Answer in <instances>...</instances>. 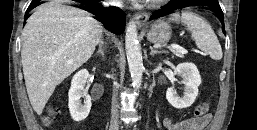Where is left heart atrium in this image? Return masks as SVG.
Returning a JSON list of instances; mask_svg holds the SVG:
<instances>
[{
	"instance_id": "left-heart-atrium-1",
	"label": "left heart atrium",
	"mask_w": 257,
	"mask_h": 130,
	"mask_svg": "<svg viewBox=\"0 0 257 130\" xmlns=\"http://www.w3.org/2000/svg\"><path fill=\"white\" fill-rule=\"evenodd\" d=\"M134 1H149V0H134Z\"/></svg>"
}]
</instances>
